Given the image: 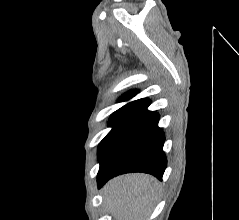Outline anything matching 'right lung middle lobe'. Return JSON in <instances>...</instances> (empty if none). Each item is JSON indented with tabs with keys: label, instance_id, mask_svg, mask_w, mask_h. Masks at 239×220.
<instances>
[{
	"label": "right lung middle lobe",
	"instance_id": "right-lung-middle-lobe-1",
	"mask_svg": "<svg viewBox=\"0 0 239 220\" xmlns=\"http://www.w3.org/2000/svg\"><path fill=\"white\" fill-rule=\"evenodd\" d=\"M131 108H120L110 118L109 126L112 127V130L106 135V137L101 141L98 149V159L101 160L105 150L113 139L115 133L125 120L126 116L129 114Z\"/></svg>",
	"mask_w": 239,
	"mask_h": 220
}]
</instances>
